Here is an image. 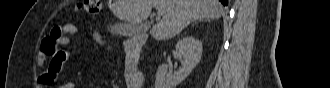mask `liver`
Instances as JSON below:
<instances>
[{
  "instance_id": "1",
  "label": "liver",
  "mask_w": 330,
  "mask_h": 88,
  "mask_svg": "<svg viewBox=\"0 0 330 88\" xmlns=\"http://www.w3.org/2000/svg\"><path fill=\"white\" fill-rule=\"evenodd\" d=\"M113 14L125 23L139 25L153 7L163 11L162 20L150 30L156 40L173 38L198 19H219L223 6L218 0H115Z\"/></svg>"
}]
</instances>
